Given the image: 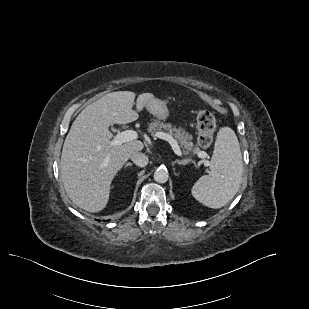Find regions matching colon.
Wrapping results in <instances>:
<instances>
[{
    "label": "colon",
    "instance_id": "obj_1",
    "mask_svg": "<svg viewBox=\"0 0 309 309\" xmlns=\"http://www.w3.org/2000/svg\"><path fill=\"white\" fill-rule=\"evenodd\" d=\"M198 137L197 141L201 147H208L213 141L216 129V119L214 115L208 111H200L196 118Z\"/></svg>",
    "mask_w": 309,
    "mask_h": 309
}]
</instances>
